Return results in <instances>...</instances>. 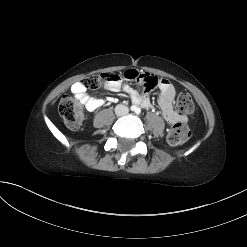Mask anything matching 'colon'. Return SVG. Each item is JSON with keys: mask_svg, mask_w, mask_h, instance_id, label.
<instances>
[{"mask_svg": "<svg viewBox=\"0 0 247 247\" xmlns=\"http://www.w3.org/2000/svg\"><path fill=\"white\" fill-rule=\"evenodd\" d=\"M111 73L94 74L83 80V85L88 89H98L104 87L105 78ZM156 84V82H155ZM154 84V85H155ZM152 85L151 87H153ZM176 109L182 115H189L194 112V102L190 94L181 92L176 100ZM65 125L71 130H78L85 119L83 104L76 98L65 95L61 98L58 106ZM190 136L188 125L182 120L174 125L167 135V141L172 146L183 144Z\"/></svg>", "mask_w": 247, "mask_h": 247, "instance_id": "obj_1", "label": "colon"}]
</instances>
